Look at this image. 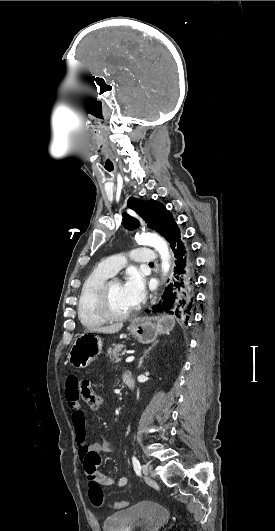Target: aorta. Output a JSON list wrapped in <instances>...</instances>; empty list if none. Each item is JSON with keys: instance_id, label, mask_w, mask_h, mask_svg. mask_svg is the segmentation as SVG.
<instances>
[{"instance_id": "1", "label": "aorta", "mask_w": 275, "mask_h": 531, "mask_svg": "<svg viewBox=\"0 0 275 531\" xmlns=\"http://www.w3.org/2000/svg\"><path fill=\"white\" fill-rule=\"evenodd\" d=\"M143 237L146 239V241H148L151 247H154V249L158 251L162 261L161 269L163 271V275H167L168 271H170L171 265L170 253L165 239L158 237V235H149V233H143Z\"/></svg>"}]
</instances>
